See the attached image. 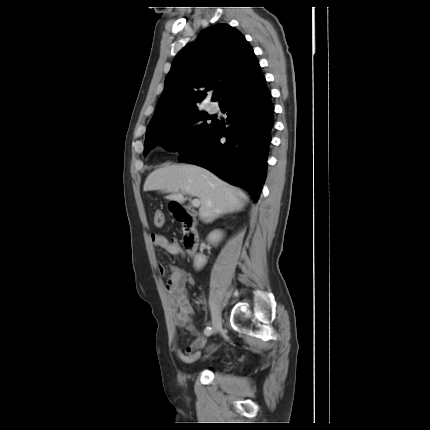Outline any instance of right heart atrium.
I'll return each mask as SVG.
<instances>
[{"instance_id":"obj_1","label":"right heart atrium","mask_w":430,"mask_h":430,"mask_svg":"<svg viewBox=\"0 0 430 430\" xmlns=\"http://www.w3.org/2000/svg\"><path fill=\"white\" fill-rule=\"evenodd\" d=\"M181 141V134H177L176 137L174 138V143L178 144Z\"/></svg>"}]
</instances>
